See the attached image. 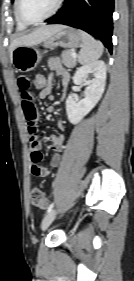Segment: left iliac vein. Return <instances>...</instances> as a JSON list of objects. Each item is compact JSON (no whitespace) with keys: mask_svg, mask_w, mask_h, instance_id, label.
<instances>
[{"mask_svg":"<svg viewBox=\"0 0 134 281\" xmlns=\"http://www.w3.org/2000/svg\"><path fill=\"white\" fill-rule=\"evenodd\" d=\"M56 215H57V210H55V209L46 215V217L44 218L42 225H41V228L43 231L49 227V225L55 219Z\"/></svg>","mask_w":134,"mask_h":281,"instance_id":"obj_1","label":"left iliac vein"}]
</instances>
